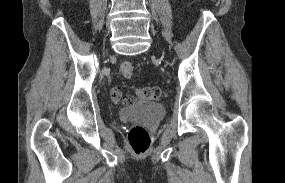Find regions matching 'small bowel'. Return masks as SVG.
Listing matches in <instances>:
<instances>
[{
    "label": "small bowel",
    "instance_id": "obj_1",
    "mask_svg": "<svg viewBox=\"0 0 285 183\" xmlns=\"http://www.w3.org/2000/svg\"><path fill=\"white\" fill-rule=\"evenodd\" d=\"M110 94H111L112 100L114 101H119L121 98V92L118 87H113L110 91Z\"/></svg>",
    "mask_w": 285,
    "mask_h": 183
}]
</instances>
